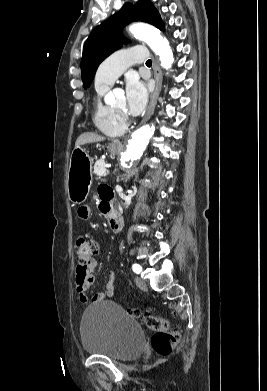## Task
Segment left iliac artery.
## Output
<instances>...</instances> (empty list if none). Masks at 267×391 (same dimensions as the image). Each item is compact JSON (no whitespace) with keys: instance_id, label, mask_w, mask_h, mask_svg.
Here are the masks:
<instances>
[{"instance_id":"obj_1","label":"left iliac artery","mask_w":267,"mask_h":391,"mask_svg":"<svg viewBox=\"0 0 267 391\" xmlns=\"http://www.w3.org/2000/svg\"><path fill=\"white\" fill-rule=\"evenodd\" d=\"M132 268H133V271H134L135 273H140L141 270H142L141 266L138 265V264H134V265L132 266Z\"/></svg>"}]
</instances>
